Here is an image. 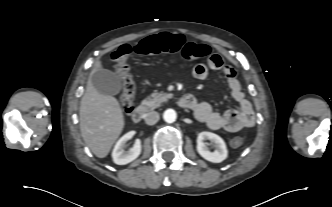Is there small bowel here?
Listing matches in <instances>:
<instances>
[{
	"label": "small bowel",
	"mask_w": 332,
	"mask_h": 207,
	"mask_svg": "<svg viewBox=\"0 0 332 207\" xmlns=\"http://www.w3.org/2000/svg\"><path fill=\"white\" fill-rule=\"evenodd\" d=\"M209 57L207 64L199 63L193 68V76L204 80L209 70L221 71L229 86L231 96L238 103L239 110H228L224 113L216 112L207 102H195L191 108L199 122L206 124L213 130H226L236 132L245 127H251L255 123V115L250 101L245 97L241 84L237 79L234 67L224 63L223 59L216 55Z\"/></svg>",
	"instance_id": "obj_1"
}]
</instances>
